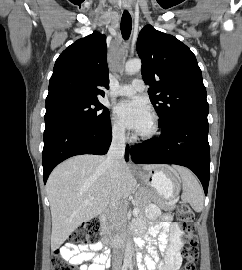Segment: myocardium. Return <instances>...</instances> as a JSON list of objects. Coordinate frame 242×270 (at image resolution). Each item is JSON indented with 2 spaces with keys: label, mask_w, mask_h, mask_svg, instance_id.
Returning <instances> with one entry per match:
<instances>
[{
  "label": "myocardium",
  "mask_w": 242,
  "mask_h": 270,
  "mask_svg": "<svg viewBox=\"0 0 242 270\" xmlns=\"http://www.w3.org/2000/svg\"><path fill=\"white\" fill-rule=\"evenodd\" d=\"M160 133V123L156 115L151 116V125L148 131L138 133L137 138L142 141H151L155 139Z\"/></svg>",
  "instance_id": "obj_1"
}]
</instances>
